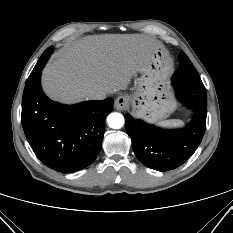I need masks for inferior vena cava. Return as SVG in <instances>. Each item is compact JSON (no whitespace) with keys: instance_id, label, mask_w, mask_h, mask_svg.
I'll list each match as a JSON object with an SVG mask.
<instances>
[{"instance_id":"inferior-vena-cava-1","label":"inferior vena cava","mask_w":233,"mask_h":233,"mask_svg":"<svg viewBox=\"0 0 233 233\" xmlns=\"http://www.w3.org/2000/svg\"><path fill=\"white\" fill-rule=\"evenodd\" d=\"M107 93L108 92L106 90H103V89L97 90L96 92L92 93L91 99L103 100L107 97Z\"/></svg>"}]
</instances>
